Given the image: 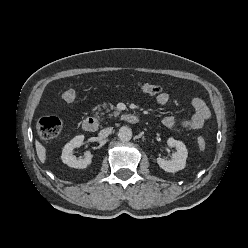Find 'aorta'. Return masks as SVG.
<instances>
[{
    "instance_id": "762f6f07",
    "label": "aorta",
    "mask_w": 248,
    "mask_h": 248,
    "mask_svg": "<svg viewBox=\"0 0 248 248\" xmlns=\"http://www.w3.org/2000/svg\"><path fill=\"white\" fill-rule=\"evenodd\" d=\"M118 137L121 141L126 142L132 138V130L128 126H122L119 129Z\"/></svg>"
}]
</instances>
